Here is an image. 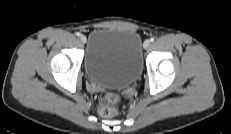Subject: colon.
<instances>
[{"instance_id": "5ec220e1", "label": "colon", "mask_w": 231, "mask_h": 134, "mask_svg": "<svg viewBox=\"0 0 231 134\" xmlns=\"http://www.w3.org/2000/svg\"><path fill=\"white\" fill-rule=\"evenodd\" d=\"M122 96L115 92H105L98 101L99 113L107 118L114 117L119 112Z\"/></svg>"}]
</instances>
